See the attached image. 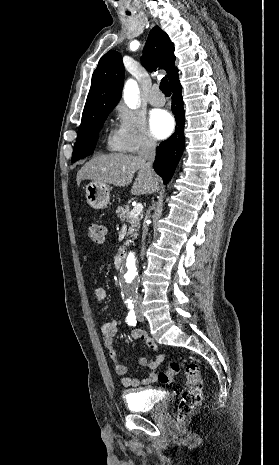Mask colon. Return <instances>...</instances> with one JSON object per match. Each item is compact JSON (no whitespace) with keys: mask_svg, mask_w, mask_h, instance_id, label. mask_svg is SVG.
<instances>
[{"mask_svg":"<svg viewBox=\"0 0 279 465\" xmlns=\"http://www.w3.org/2000/svg\"><path fill=\"white\" fill-rule=\"evenodd\" d=\"M88 238L95 244L101 245L105 239V227L101 224H91L86 230ZM181 370L180 363L173 361L166 371L158 374V380L169 384ZM186 384L177 407V421L181 423L200 404L202 400V379L197 363L191 362L185 368Z\"/></svg>","mask_w":279,"mask_h":465,"instance_id":"5ec220e1","label":"colon"}]
</instances>
